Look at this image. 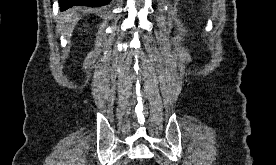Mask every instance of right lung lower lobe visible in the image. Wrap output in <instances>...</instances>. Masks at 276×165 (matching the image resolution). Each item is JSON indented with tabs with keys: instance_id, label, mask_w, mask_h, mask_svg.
<instances>
[{
	"instance_id": "right-lung-lower-lobe-1",
	"label": "right lung lower lobe",
	"mask_w": 276,
	"mask_h": 165,
	"mask_svg": "<svg viewBox=\"0 0 276 165\" xmlns=\"http://www.w3.org/2000/svg\"><path fill=\"white\" fill-rule=\"evenodd\" d=\"M111 0H59L61 10H66L73 6H89V7H100L106 5Z\"/></svg>"
}]
</instances>
